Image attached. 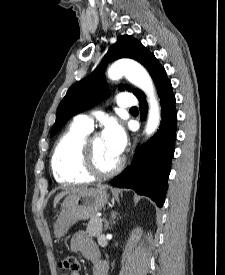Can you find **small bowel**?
<instances>
[{"label": "small bowel", "mask_w": 225, "mask_h": 275, "mask_svg": "<svg viewBox=\"0 0 225 275\" xmlns=\"http://www.w3.org/2000/svg\"><path fill=\"white\" fill-rule=\"evenodd\" d=\"M70 248L75 253L84 254L92 262V275H108V266L101 260L98 246L85 232L80 231L72 236ZM69 275H80V273L72 272Z\"/></svg>", "instance_id": "obj_1"}]
</instances>
